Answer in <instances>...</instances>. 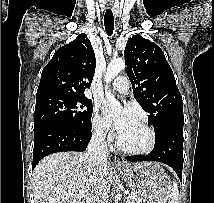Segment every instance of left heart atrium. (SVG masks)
<instances>
[{
    "mask_svg": "<svg viewBox=\"0 0 214 203\" xmlns=\"http://www.w3.org/2000/svg\"><path fill=\"white\" fill-rule=\"evenodd\" d=\"M105 114L119 133L123 132L128 126L138 119L135 109L127 104L123 105L121 108L106 106Z\"/></svg>",
    "mask_w": 214,
    "mask_h": 203,
    "instance_id": "obj_1",
    "label": "left heart atrium"
}]
</instances>
